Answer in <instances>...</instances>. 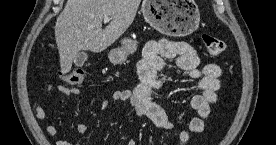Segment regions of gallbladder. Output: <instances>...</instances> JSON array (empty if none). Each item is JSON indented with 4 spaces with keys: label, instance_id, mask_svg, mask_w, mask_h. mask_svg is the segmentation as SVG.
<instances>
[{
    "label": "gallbladder",
    "instance_id": "gallbladder-1",
    "mask_svg": "<svg viewBox=\"0 0 276 145\" xmlns=\"http://www.w3.org/2000/svg\"><path fill=\"white\" fill-rule=\"evenodd\" d=\"M87 60V54L83 51L79 52L75 58L74 63L77 67H82Z\"/></svg>",
    "mask_w": 276,
    "mask_h": 145
}]
</instances>
